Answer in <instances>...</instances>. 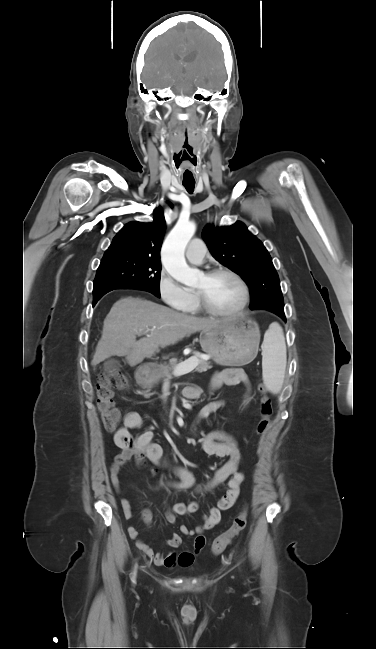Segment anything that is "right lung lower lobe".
I'll list each match as a JSON object with an SVG mask.
<instances>
[{
    "mask_svg": "<svg viewBox=\"0 0 376 649\" xmlns=\"http://www.w3.org/2000/svg\"><path fill=\"white\" fill-rule=\"evenodd\" d=\"M109 291H111V290L103 291V292H101L99 295H97V297H96L95 299H93V304L95 305V304L97 303V301H98V300H99V299H100L104 294H106V293L109 292Z\"/></svg>",
    "mask_w": 376,
    "mask_h": 649,
    "instance_id": "1",
    "label": "right lung lower lobe"
}]
</instances>
